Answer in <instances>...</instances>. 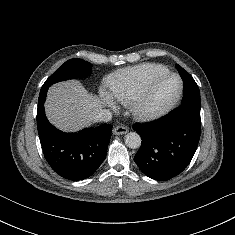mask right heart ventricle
I'll return each mask as SVG.
<instances>
[{
  "label": "right heart ventricle",
  "mask_w": 235,
  "mask_h": 235,
  "mask_svg": "<svg viewBox=\"0 0 235 235\" xmlns=\"http://www.w3.org/2000/svg\"><path fill=\"white\" fill-rule=\"evenodd\" d=\"M165 72H168L165 66L153 63H143L120 69L107 80L109 93L118 103L129 105L151 77Z\"/></svg>",
  "instance_id": "right-heart-ventricle-1"
}]
</instances>
